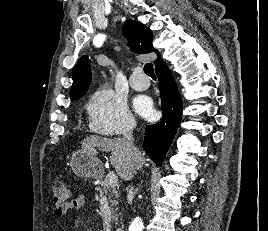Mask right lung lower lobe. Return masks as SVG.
Wrapping results in <instances>:
<instances>
[{"instance_id": "98d812e1", "label": "right lung lower lobe", "mask_w": 268, "mask_h": 231, "mask_svg": "<svg viewBox=\"0 0 268 231\" xmlns=\"http://www.w3.org/2000/svg\"><path fill=\"white\" fill-rule=\"evenodd\" d=\"M159 79L163 119L145 129L144 148L153 161L161 166L182 119V100L166 64L155 69Z\"/></svg>"}]
</instances>
